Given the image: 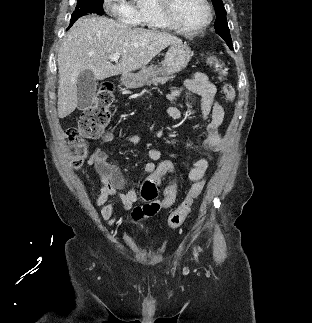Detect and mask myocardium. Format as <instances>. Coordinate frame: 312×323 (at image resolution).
Segmentation results:
<instances>
[{"instance_id":"obj_1","label":"myocardium","mask_w":312,"mask_h":323,"mask_svg":"<svg viewBox=\"0 0 312 323\" xmlns=\"http://www.w3.org/2000/svg\"><path fill=\"white\" fill-rule=\"evenodd\" d=\"M158 8L164 15L166 25H170L171 31H206L207 25H211L216 15L212 10L213 5L208 0H198L200 12L205 13L203 20H176L174 12H171L172 0H159Z\"/></svg>"}]
</instances>
